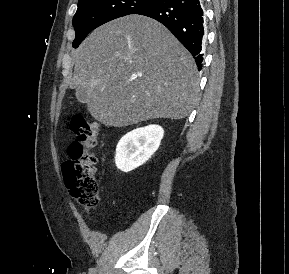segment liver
<instances>
[{
	"label": "liver",
	"instance_id": "obj_1",
	"mask_svg": "<svg viewBox=\"0 0 289 274\" xmlns=\"http://www.w3.org/2000/svg\"><path fill=\"white\" fill-rule=\"evenodd\" d=\"M70 88H83L91 116L107 127L187 117L198 101L190 52L159 22L124 16L95 29L74 51Z\"/></svg>",
	"mask_w": 289,
	"mask_h": 274
}]
</instances>
